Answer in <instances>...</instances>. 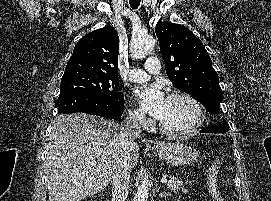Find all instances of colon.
Returning <instances> with one entry per match:
<instances>
[{
    "instance_id": "colon-1",
    "label": "colon",
    "mask_w": 271,
    "mask_h": 201,
    "mask_svg": "<svg viewBox=\"0 0 271 201\" xmlns=\"http://www.w3.org/2000/svg\"><path fill=\"white\" fill-rule=\"evenodd\" d=\"M219 169H220V161L218 158H216L212 162V164L208 170V173H207V182H208L210 189L214 192L216 201H222V199L218 195L217 187H216V179H217Z\"/></svg>"
}]
</instances>
